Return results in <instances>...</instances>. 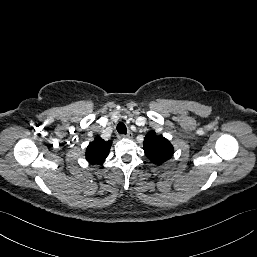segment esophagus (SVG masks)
Wrapping results in <instances>:
<instances>
[{
    "mask_svg": "<svg viewBox=\"0 0 257 257\" xmlns=\"http://www.w3.org/2000/svg\"><path fill=\"white\" fill-rule=\"evenodd\" d=\"M121 137L122 138H128V139H130V138H132L133 137V135H132V133L131 132H129L128 134H126V135H121Z\"/></svg>",
    "mask_w": 257,
    "mask_h": 257,
    "instance_id": "1",
    "label": "esophagus"
}]
</instances>
